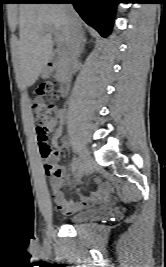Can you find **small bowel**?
<instances>
[{
  "label": "small bowel",
  "instance_id": "obj_1",
  "mask_svg": "<svg viewBox=\"0 0 166 267\" xmlns=\"http://www.w3.org/2000/svg\"><path fill=\"white\" fill-rule=\"evenodd\" d=\"M65 123V114L60 111L59 117L51 121L48 125V130L52 132L51 145L58 147L61 141L63 133V126ZM60 152L58 150L53 151L50 158L52 163H56L59 160ZM58 170V176L51 180V194L58 207V209L66 215L74 214L100 200L106 199L109 191L108 184H101L97 191L90 193L89 195L79 194L78 201H70L65 198L60 190L61 180L66 177V170L63 167H56Z\"/></svg>",
  "mask_w": 166,
  "mask_h": 267
}]
</instances>
